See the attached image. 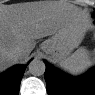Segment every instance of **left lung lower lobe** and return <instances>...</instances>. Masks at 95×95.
<instances>
[{"instance_id": "left-lung-lower-lobe-1", "label": "left lung lower lobe", "mask_w": 95, "mask_h": 95, "mask_svg": "<svg viewBox=\"0 0 95 95\" xmlns=\"http://www.w3.org/2000/svg\"><path fill=\"white\" fill-rule=\"evenodd\" d=\"M47 89L56 95H94L95 69L81 77H70L46 62Z\"/></svg>"}]
</instances>
